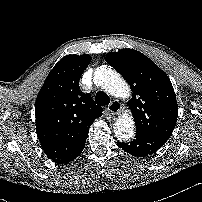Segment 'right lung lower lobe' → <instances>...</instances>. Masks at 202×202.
Returning <instances> with one entry per match:
<instances>
[{
	"mask_svg": "<svg viewBox=\"0 0 202 202\" xmlns=\"http://www.w3.org/2000/svg\"><path fill=\"white\" fill-rule=\"evenodd\" d=\"M88 131H89V128H88ZM88 131H87V133L85 135V138H84L82 144L78 147V149L72 155H70L69 157L63 159L61 161V163H57V164H65V163H68L70 161H73L74 159H76L82 153V151H83V149L85 147Z\"/></svg>",
	"mask_w": 202,
	"mask_h": 202,
	"instance_id": "obj_1",
	"label": "right lung lower lobe"
}]
</instances>
